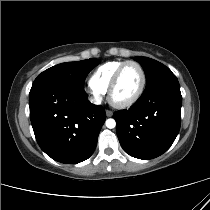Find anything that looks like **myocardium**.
I'll use <instances>...</instances> for the list:
<instances>
[{
  "label": "myocardium",
  "instance_id": "myocardium-1",
  "mask_svg": "<svg viewBox=\"0 0 210 210\" xmlns=\"http://www.w3.org/2000/svg\"><path fill=\"white\" fill-rule=\"evenodd\" d=\"M127 65H135L138 67V69L141 73V83H140V86H139L137 92L131 98H129L126 101L118 102V101L114 100L113 94H114V91L119 83L121 73ZM146 82H147L146 72H145L143 66L139 62L134 61V60H128V61L123 62L118 67L116 72L114 73L113 78H112V80L109 84L108 90H107L108 100H109L110 104L116 108H119V109H124V108H128V107L132 106L142 96V94L145 90V87H146Z\"/></svg>",
  "mask_w": 210,
  "mask_h": 210
}]
</instances>
